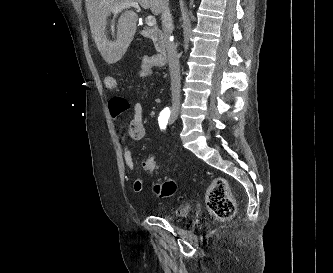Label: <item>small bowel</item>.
<instances>
[{
  "label": "small bowel",
  "instance_id": "small-bowel-1",
  "mask_svg": "<svg viewBox=\"0 0 333 273\" xmlns=\"http://www.w3.org/2000/svg\"><path fill=\"white\" fill-rule=\"evenodd\" d=\"M145 59H152V57H146ZM143 60V61H144ZM155 68L154 62H141V70H139V77H148L150 73H153ZM107 87V85H106ZM109 110L111 116L115 122V127L119 133V141L122 147L123 157L125 165L129 170H134L135 162L132 156L131 149L127 142V137L121 131L120 116L122 114H129V104L125 101L124 96H111L109 103ZM127 135L131 140L140 141L146 135V129L143 122V105L137 101L133 105V113L127 124ZM148 159H154L152 157ZM144 188V183L141 178H136L133 181V190L135 192H141Z\"/></svg>",
  "mask_w": 333,
  "mask_h": 273
}]
</instances>
